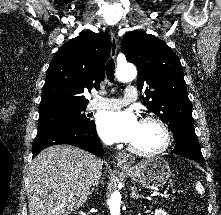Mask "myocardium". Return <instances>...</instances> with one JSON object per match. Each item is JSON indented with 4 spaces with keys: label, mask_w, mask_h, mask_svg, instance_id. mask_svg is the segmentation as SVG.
Here are the masks:
<instances>
[{
    "label": "myocardium",
    "mask_w": 221,
    "mask_h": 215,
    "mask_svg": "<svg viewBox=\"0 0 221 215\" xmlns=\"http://www.w3.org/2000/svg\"><path fill=\"white\" fill-rule=\"evenodd\" d=\"M140 122L156 124L162 132L163 142L158 148L154 150H141L133 146L132 144L129 146V150L132 153L142 157H153L165 152L170 147L172 141L171 131L167 124L162 119L156 116H145L141 119Z\"/></svg>",
    "instance_id": "myocardium-1"
}]
</instances>
